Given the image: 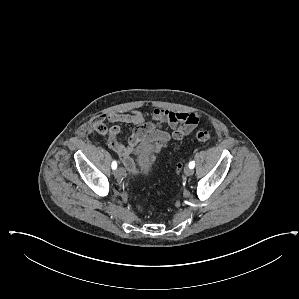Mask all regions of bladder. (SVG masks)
<instances>
[{"mask_svg":"<svg viewBox=\"0 0 299 299\" xmlns=\"http://www.w3.org/2000/svg\"><path fill=\"white\" fill-rule=\"evenodd\" d=\"M139 161H140V167H139V173L142 176L149 175L153 170V163L149 162V158L146 155V153L142 152L139 155Z\"/></svg>","mask_w":299,"mask_h":299,"instance_id":"bladder-1","label":"bladder"}]
</instances>
